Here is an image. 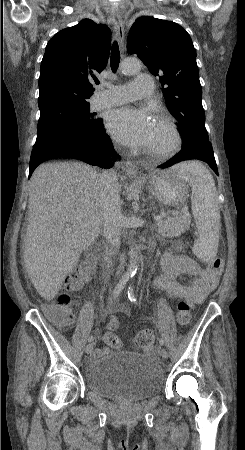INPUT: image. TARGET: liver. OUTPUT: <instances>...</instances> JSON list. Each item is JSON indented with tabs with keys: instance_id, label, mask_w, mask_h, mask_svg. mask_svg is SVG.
I'll use <instances>...</instances> for the list:
<instances>
[{
	"instance_id": "1",
	"label": "liver",
	"mask_w": 245,
	"mask_h": 450,
	"mask_svg": "<svg viewBox=\"0 0 245 450\" xmlns=\"http://www.w3.org/2000/svg\"><path fill=\"white\" fill-rule=\"evenodd\" d=\"M99 192V173L80 162L42 164L30 179L24 264L47 301L101 232Z\"/></svg>"
}]
</instances>
